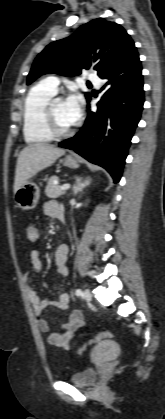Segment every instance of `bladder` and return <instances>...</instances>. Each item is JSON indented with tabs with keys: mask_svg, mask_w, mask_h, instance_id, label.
<instances>
[{
	"mask_svg": "<svg viewBox=\"0 0 165 419\" xmlns=\"http://www.w3.org/2000/svg\"><path fill=\"white\" fill-rule=\"evenodd\" d=\"M99 373L93 368H86L69 376L68 380L76 386H91L98 379Z\"/></svg>",
	"mask_w": 165,
	"mask_h": 419,
	"instance_id": "1",
	"label": "bladder"
}]
</instances>
